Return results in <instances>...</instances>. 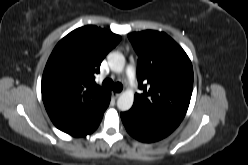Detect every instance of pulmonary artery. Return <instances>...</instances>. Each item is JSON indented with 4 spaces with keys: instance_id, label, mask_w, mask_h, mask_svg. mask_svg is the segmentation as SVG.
I'll return each mask as SVG.
<instances>
[{
    "instance_id": "1",
    "label": "pulmonary artery",
    "mask_w": 248,
    "mask_h": 165,
    "mask_svg": "<svg viewBox=\"0 0 248 165\" xmlns=\"http://www.w3.org/2000/svg\"><path fill=\"white\" fill-rule=\"evenodd\" d=\"M126 75H127V80H128L130 87L134 91H137L138 90V83H137L136 72H135L134 67L129 66L127 68V71H126Z\"/></svg>"
}]
</instances>
